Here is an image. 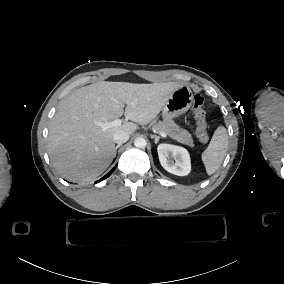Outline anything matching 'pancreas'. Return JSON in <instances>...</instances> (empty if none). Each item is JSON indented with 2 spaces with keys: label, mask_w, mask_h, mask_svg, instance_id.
Returning a JSON list of instances; mask_svg holds the SVG:
<instances>
[{
  "label": "pancreas",
  "mask_w": 284,
  "mask_h": 284,
  "mask_svg": "<svg viewBox=\"0 0 284 284\" xmlns=\"http://www.w3.org/2000/svg\"><path fill=\"white\" fill-rule=\"evenodd\" d=\"M154 129L159 133H166L168 136L175 139L177 142L182 143L190 148L194 147V141L191 134L181 128L171 117H166L163 123L158 124Z\"/></svg>",
  "instance_id": "cf45deb5"
}]
</instances>
